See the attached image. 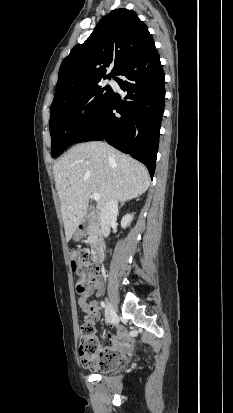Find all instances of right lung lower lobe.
Listing matches in <instances>:
<instances>
[{"mask_svg": "<svg viewBox=\"0 0 233 413\" xmlns=\"http://www.w3.org/2000/svg\"><path fill=\"white\" fill-rule=\"evenodd\" d=\"M116 75L124 76L115 81L127 92L126 100H119L113 92L98 117L75 142L105 139L142 162L153 178L165 100V76L154 42L125 62Z\"/></svg>", "mask_w": 233, "mask_h": 413, "instance_id": "98d812e1", "label": "right lung lower lobe"}]
</instances>
